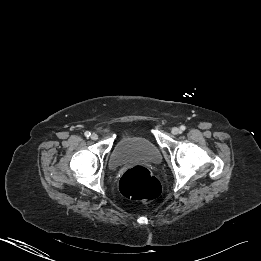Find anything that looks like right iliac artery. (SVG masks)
<instances>
[{
    "label": "right iliac artery",
    "mask_w": 261,
    "mask_h": 261,
    "mask_svg": "<svg viewBox=\"0 0 261 261\" xmlns=\"http://www.w3.org/2000/svg\"><path fill=\"white\" fill-rule=\"evenodd\" d=\"M90 135H91V133H90L89 131H86V132H85V136H86V137H89Z\"/></svg>",
    "instance_id": "obj_1"
}]
</instances>
